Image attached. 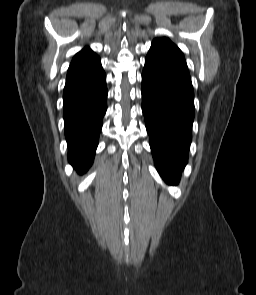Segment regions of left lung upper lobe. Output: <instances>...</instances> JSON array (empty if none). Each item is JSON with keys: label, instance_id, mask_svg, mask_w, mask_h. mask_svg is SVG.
I'll return each instance as SVG.
<instances>
[{"label": "left lung upper lobe", "instance_id": "5c2ea615", "mask_svg": "<svg viewBox=\"0 0 256 295\" xmlns=\"http://www.w3.org/2000/svg\"><path fill=\"white\" fill-rule=\"evenodd\" d=\"M145 63L191 79L183 53L167 38L152 41Z\"/></svg>", "mask_w": 256, "mask_h": 295}]
</instances>
